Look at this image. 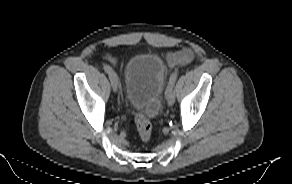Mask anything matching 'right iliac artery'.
I'll return each mask as SVG.
<instances>
[{"label":"right iliac artery","mask_w":292,"mask_h":184,"mask_svg":"<svg viewBox=\"0 0 292 184\" xmlns=\"http://www.w3.org/2000/svg\"><path fill=\"white\" fill-rule=\"evenodd\" d=\"M103 69L105 70V72H107L108 74H110L112 72V68L109 65H104Z\"/></svg>","instance_id":"1"}]
</instances>
